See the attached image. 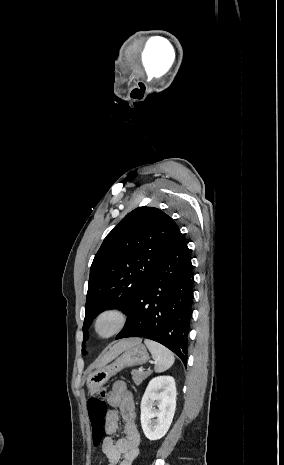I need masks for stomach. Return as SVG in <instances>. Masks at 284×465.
<instances>
[{
	"label": "stomach",
	"instance_id": "1",
	"mask_svg": "<svg viewBox=\"0 0 284 465\" xmlns=\"http://www.w3.org/2000/svg\"><path fill=\"white\" fill-rule=\"evenodd\" d=\"M149 359V353H147V349L144 345L130 347V349L124 351L114 363H111V365H104V367H98L94 373L88 375L86 385L90 395H94L105 383H108L110 377H113V375H116V373H119V371H122L125 367L145 365Z\"/></svg>",
	"mask_w": 284,
	"mask_h": 465
}]
</instances>
